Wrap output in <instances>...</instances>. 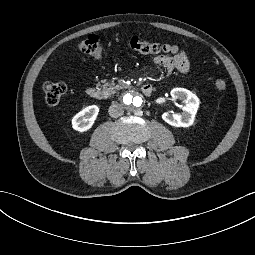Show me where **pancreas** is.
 Returning a JSON list of instances; mask_svg holds the SVG:
<instances>
[{
    "label": "pancreas",
    "instance_id": "obj_1",
    "mask_svg": "<svg viewBox=\"0 0 255 255\" xmlns=\"http://www.w3.org/2000/svg\"><path fill=\"white\" fill-rule=\"evenodd\" d=\"M97 86L99 87V86H101V84L98 83ZM102 88H103V91H102L103 94L108 97V96L114 94L116 92V90H120L123 87L120 85H115L114 83H104L102 85Z\"/></svg>",
    "mask_w": 255,
    "mask_h": 255
}]
</instances>
